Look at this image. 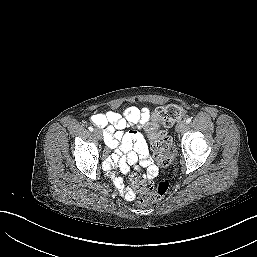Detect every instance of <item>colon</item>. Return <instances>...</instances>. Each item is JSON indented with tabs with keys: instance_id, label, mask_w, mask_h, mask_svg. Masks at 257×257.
<instances>
[{
	"instance_id": "obj_1",
	"label": "colon",
	"mask_w": 257,
	"mask_h": 257,
	"mask_svg": "<svg viewBox=\"0 0 257 257\" xmlns=\"http://www.w3.org/2000/svg\"><path fill=\"white\" fill-rule=\"evenodd\" d=\"M183 108L177 104H168L158 107L151 120L147 123V128L151 135L152 149L157 161L161 166H168L172 163L173 153L171 149V138L160 127H170L178 122L183 116ZM134 189L141 194L137 199L140 205H147L159 201L169 190V182L160 180L156 185L144 181L139 173L131 176Z\"/></svg>"
}]
</instances>
